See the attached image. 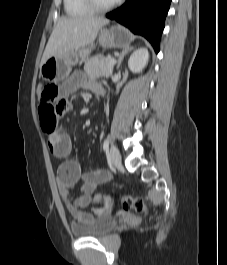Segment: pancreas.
<instances>
[{
	"instance_id": "1",
	"label": "pancreas",
	"mask_w": 227,
	"mask_h": 265,
	"mask_svg": "<svg viewBox=\"0 0 227 265\" xmlns=\"http://www.w3.org/2000/svg\"><path fill=\"white\" fill-rule=\"evenodd\" d=\"M110 58L95 56L87 59L84 64V71L92 77H110L113 72V65L108 66Z\"/></svg>"
}]
</instances>
